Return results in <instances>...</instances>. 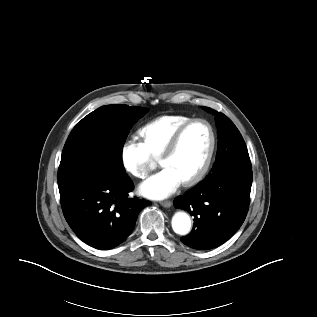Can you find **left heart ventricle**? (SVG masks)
<instances>
[{"instance_id":"obj_1","label":"left heart ventricle","mask_w":317,"mask_h":317,"mask_svg":"<svg viewBox=\"0 0 317 317\" xmlns=\"http://www.w3.org/2000/svg\"><path fill=\"white\" fill-rule=\"evenodd\" d=\"M210 144L208 128L197 123L191 126L179 144L176 152L161 165L172 169L182 181L196 173L202 165Z\"/></svg>"}]
</instances>
